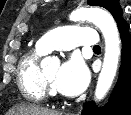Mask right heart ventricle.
<instances>
[{"label": "right heart ventricle", "mask_w": 131, "mask_h": 115, "mask_svg": "<svg viewBox=\"0 0 131 115\" xmlns=\"http://www.w3.org/2000/svg\"><path fill=\"white\" fill-rule=\"evenodd\" d=\"M46 53L36 45L20 58L17 69V84L21 95L27 101L37 103L45 97L39 60Z\"/></svg>", "instance_id": "1"}]
</instances>
